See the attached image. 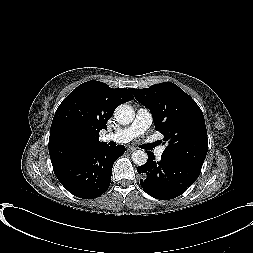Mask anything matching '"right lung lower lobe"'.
I'll list each match as a JSON object with an SVG mask.
<instances>
[{"label":"right lung lower lobe","instance_id":"98d812e1","mask_svg":"<svg viewBox=\"0 0 253 253\" xmlns=\"http://www.w3.org/2000/svg\"><path fill=\"white\" fill-rule=\"evenodd\" d=\"M125 152L123 145L106 144L74 159L53 165L60 183L73 195L92 199L102 195L111 182L112 167Z\"/></svg>","mask_w":253,"mask_h":253}]
</instances>
